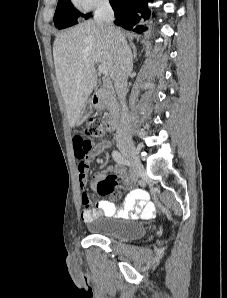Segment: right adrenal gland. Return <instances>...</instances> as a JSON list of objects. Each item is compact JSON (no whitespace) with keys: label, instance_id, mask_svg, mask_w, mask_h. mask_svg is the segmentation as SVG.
I'll return each instance as SVG.
<instances>
[{"label":"right adrenal gland","instance_id":"2a0ac1e0","mask_svg":"<svg viewBox=\"0 0 227 298\" xmlns=\"http://www.w3.org/2000/svg\"><path fill=\"white\" fill-rule=\"evenodd\" d=\"M132 49H133V58L136 59L137 58V51H136V48H135L134 45L132 46Z\"/></svg>","mask_w":227,"mask_h":298}]
</instances>
